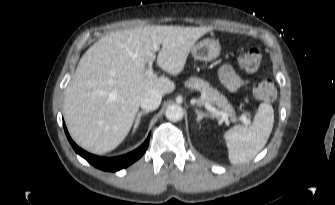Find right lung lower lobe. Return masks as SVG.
Masks as SVG:
<instances>
[{"label": "right lung lower lobe", "instance_id": "right-lung-lower-lobe-1", "mask_svg": "<svg viewBox=\"0 0 335 205\" xmlns=\"http://www.w3.org/2000/svg\"><path fill=\"white\" fill-rule=\"evenodd\" d=\"M63 127L65 130L66 136L70 144L76 151V153H78L80 156H82L84 159H86L90 164H92L96 168H99L104 171H117V170H120L122 168H125L131 165L136 160H138L148 148L149 136L139 148H137L136 150L128 154H125L119 157H113V158L98 157L90 153H87L81 148H79L70 138L69 133L64 123H63Z\"/></svg>", "mask_w": 335, "mask_h": 205}]
</instances>
